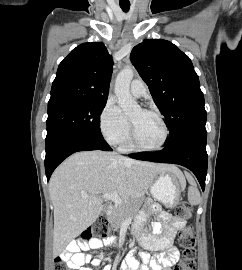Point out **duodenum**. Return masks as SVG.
I'll list each match as a JSON object with an SVG mask.
<instances>
[{
  "mask_svg": "<svg viewBox=\"0 0 242 270\" xmlns=\"http://www.w3.org/2000/svg\"><path fill=\"white\" fill-rule=\"evenodd\" d=\"M112 212H113V208H112V207H108V208L106 209L105 215H106L107 217H109V216H111Z\"/></svg>",
  "mask_w": 242,
  "mask_h": 270,
  "instance_id": "duodenum-1",
  "label": "duodenum"
}]
</instances>
